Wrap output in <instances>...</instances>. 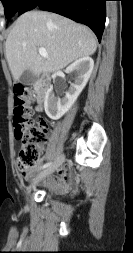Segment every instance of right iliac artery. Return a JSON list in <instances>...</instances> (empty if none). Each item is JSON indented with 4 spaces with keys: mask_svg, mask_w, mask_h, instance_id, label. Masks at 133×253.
<instances>
[{
    "mask_svg": "<svg viewBox=\"0 0 133 253\" xmlns=\"http://www.w3.org/2000/svg\"><path fill=\"white\" fill-rule=\"evenodd\" d=\"M52 164H53L52 162L46 163V164H44L40 169L48 168V167H50Z\"/></svg>",
    "mask_w": 133,
    "mask_h": 253,
    "instance_id": "right-iliac-artery-1",
    "label": "right iliac artery"
}]
</instances>
